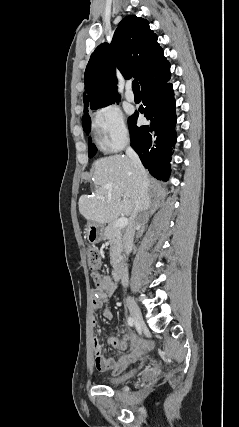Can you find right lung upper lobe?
<instances>
[{"mask_svg":"<svg viewBox=\"0 0 239 427\" xmlns=\"http://www.w3.org/2000/svg\"><path fill=\"white\" fill-rule=\"evenodd\" d=\"M116 67L125 78L138 79L142 87L170 71V64L146 19L135 15L124 18L111 44L103 43L92 53L85 70L86 114L89 102L93 109L120 100L116 91Z\"/></svg>","mask_w":239,"mask_h":427,"instance_id":"obj_1","label":"right lung upper lobe"}]
</instances>
